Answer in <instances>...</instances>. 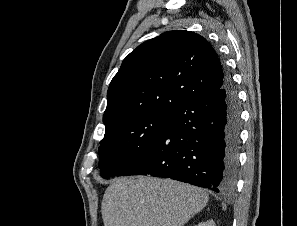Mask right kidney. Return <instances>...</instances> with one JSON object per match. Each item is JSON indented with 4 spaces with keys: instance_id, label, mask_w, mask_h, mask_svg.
Instances as JSON below:
<instances>
[{
    "instance_id": "1",
    "label": "right kidney",
    "mask_w": 297,
    "mask_h": 226,
    "mask_svg": "<svg viewBox=\"0 0 297 226\" xmlns=\"http://www.w3.org/2000/svg\"><path fill=\"white\" fill-rule=\"evenodd\" d=\"M196 226H216L213 220H209L206 222L199 223Z\"/></svg>"
}]
</instances>
